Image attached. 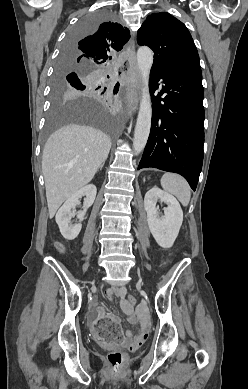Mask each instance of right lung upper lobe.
<instances>
[{
  "instance_id": "obj_1",
  "label": "right lung upper lobe",
  "mask_w": 248,
  "mask_h": 389,
  "mask_svg": "<svg viewBox=\"0 0 248 389\" xmlns=\"http://www.w3.org/2000/svg\"><path fill=\"white\" fill-rule=\"evenodd\" d=\"M130 37L129 30L115 22L101 23L97 29L74 42L62 52L63 65L80 66L96 70L112 59L111 54L120 51Z\"/></svg>"
}]
</instances>
